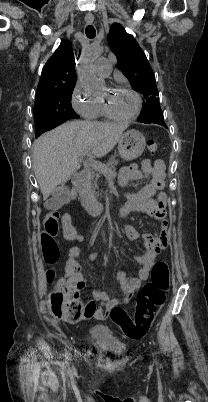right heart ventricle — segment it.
Listing matches in <instances>:
<instances>
[{
    "label": "right heart ventricle",
    "instance_id": "e07e8e85",
    "mask_svg": "<svg viewBox=\"0 0 208 402\" xmlns=\"http://www.w3.org/2000/svg\"><path fill=\"white\" fill-rule=\"evenodd\" d=\"M94 120H95V123L100 124V125H105V124H109L113 121H116L115 118H113L112 116H110L107 113V111L103 108L101 103H99L97 116Z\"/></svg>",
    "mask_w": 208,
    "mask_h": 402
}]
</instances>
